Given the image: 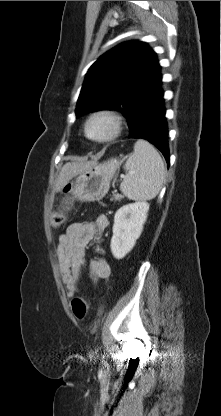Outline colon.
<instances>
[{
  "instance_id": "colon-1",
  "label": "colon",
  "mask_w": 221,
  "mask_h": 416,
  "mask_svg": "<svg viewBox=\"0 0 221 416\" xmlns=\"http://www.w3.org/2000/svg\"><path fill=\"white\" fill-rule=\"evenodd\" d=\"M71 191V186L67 185L65 188V197L63 199L62 209L53 213L51 216V224L54 227L61 226L66 223L68 217V211L71 204V199L69 193ZM71 307L74 316L83 321L87 316L88 311V300L85 296H79L72 300Z\"/></svg>"
}]
</instances>
